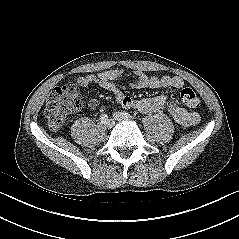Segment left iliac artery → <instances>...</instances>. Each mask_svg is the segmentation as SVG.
Returning a JSON list of instances; mask_svg holds the SVG:
<instances>
[{
	"mask_svg": "<svg viewBox=\"0 0 239 239\" xmlns=\"http://www.w3.org/2000/svg\"><path fill=\"white\" fill-rule=\"evenodd\" d=\"M124 116L131 118V115L127 112H123Z\"/></svg>",
	"mask_w": 239,
	"mask_h": 239,
	"instance_id": "1",
	"label": "left iliac artery"
}]
</instances>
